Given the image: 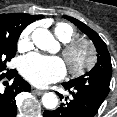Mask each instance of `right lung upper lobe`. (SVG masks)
Wrapping results in <instances>:
<instances>
[{
    "label": "right lung upper lobe",
    "mask_w": 117,
    "mask_h": 117,
    "mask_svg": "<svg viewBox=\"0 0 117 117\" xmlns=\"http://www.w3.org/2000/svg\"><path fill=\"white\" fill-rule=\"evenodd\" d=\"M43 18V15H29L25 13L0 14V29H7L11 26L25 28L31 22Z\"/></svg>",
    "instance_id": "cb5924a9"
}]
</instances>
